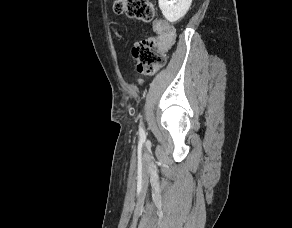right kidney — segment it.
Listing matches in <instances>:
<instances>
[{"label": "right kidney", "instance_id": "ca27d5eb", "mask_svg": "<svg viewBox=\"0 0 292 228\" xmlns=\"http://www.w3.org/2000/svg\"><path fill=\"white\" fill-rule=\"evenodd\" d=\"M192 0H159L163 16L171 23L181 19L189 10Z\"/></svg>", "mask_w": 292, "mask_h": 228}]
</instances>
